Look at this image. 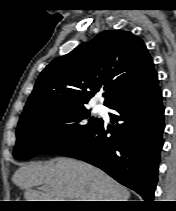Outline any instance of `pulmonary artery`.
Returning a JSON list of instances; mask_svg holds the SVG:
<instances>
[{
  "mask_svg": "<svg viewBox=\"0 0 176 211\" xmlns=\"http://www.w3.org/2000/svg\"><path fill=\"white\" fill-rule=\"evenodd\" d=\"M97 108H98V110H102V107L100 105Z\"/></svg>",
  "mask_w": 176,
  "mask_h": 211,
  "instance_id": "1",
  "label": "pulmonary artery"
}]
</instances>
